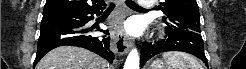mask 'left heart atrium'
Listing matches in <instances>:
<instances>
[{
  "label": "left heart atrium",
  "instance_id": "1",
  "mask_svg": "<svg viewBox=\"0 0 246 69\" xmlns=\"http://www.w3.org/2000/svg\"><path fill=\"white\" fill-rule=\"evenodd\" d=\"M127 28L132 32H137L140 30V26L135 20H130L127 23Z\"/></svg>",
  "mask_w": 246,
  "mask_h": 69
}]
</instances>
